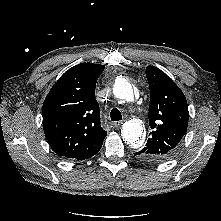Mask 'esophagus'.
I'll return each instance as SVG.
<instances>
[{"label":"esophagus","mask_w":221,"mask_h":221,"mask_svg":"<svg viewBox=\"0 0 221 221\" xmlns=\"http://www.w3.org/2000/svg\"><path fill=\"white\" fill-rule=\"evenodd\" d=\"M122 123H123L122 121H116V122L112 123V126L117 128V127H120L122 125Z\"/></svg>","instance_id":"esophagus-1"}]
</instances>
